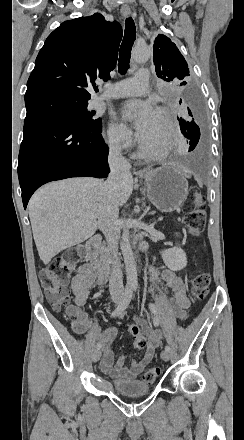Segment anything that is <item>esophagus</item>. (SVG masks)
Wrapping results in <instances>:
<instances>
[{
    "label": "esophagus",
    "mask_w": 244,
    "mask_h": 440,
    "mask_svg": "<svg viewBox=\"0 0 244 440\" xmlns=\"http://www.w3.org/2000/svg\"><path fill=\"white\" fill-rule=\"evenodd\" d=\"M131 10L129 7H121V14L123 17H129Z\"/></svg>",
    "instance_id": "obj_1"
}]
</instances>
